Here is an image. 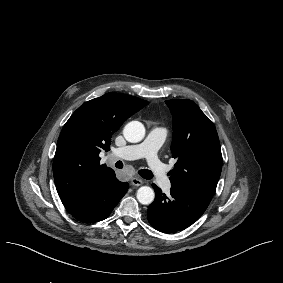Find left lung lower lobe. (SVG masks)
<instances>
[{"instance_id": "0a47b994", "label": "left lung lower lobe", "mask_w": 283, "mask_h": 283, "mask_svg": "<svg viewBox=\"0 0 283 283\" xmlns=\"http://www.w3.org/2000/svg\"><path fill=\"white\" fill-rule=\"evenodd\" d=\"M152 186L155 200L149 205L148 221L161 232L184 230L198 220L209 205V202L180 187L172 186L170 195H165L155 184Z\"/></svg>"}]
</instances>
